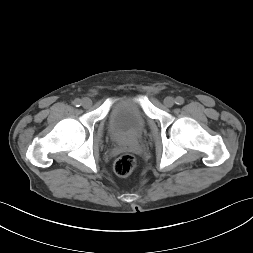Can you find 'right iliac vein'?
<instances>
[{
  "instance_id": "right-iliac-vein-1",
  "label": "right iliac vein",
  "mask_w": 253,
  "mask_h": 253,
  "mask_svg": "<svg viewBox=\"0 0 253 253\" xmlns=\"http://www.w3.org/2000/svg\"><path fill=\"white\" fill-rule=\"evenodd\" d=\"M81 103L84 108H89L92 105V101L88 97L83 98Z\"/></svg>"
}]
</instances>
